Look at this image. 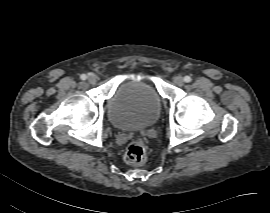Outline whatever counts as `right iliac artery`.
<instances>
[{
    "label": "right iliac artery",
    "instance_id": "right-iliac-artery-1",
    "mask_svg": "<svg viewBox=\"0 0 270 213\" xmlns=\"http://www.w3.org/2000/svg\"><path fill=\"white\" fill-rule=\"evenodd\" d=\"M80 78H81L82 80H86V79H87V76H86L85 74H82V75L80 76Z\"/></svg>",
    "mask_w": 270,
    "mask_h": 213
}]
</instances>
